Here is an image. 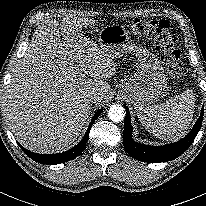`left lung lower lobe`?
<instances>
[{"mask_svg": "<svg viewBox=\"0 0 206 206\" xmlns=\"http://www.w3.org/2000/svg\"><path fill=\"white\" fill-rule=\"evenodd\" d=\"M126 117L124 121V133H123V143L127 153L143 162L158 163L174 160L183 154L194 141L197 133L199 132L203 120L204 106L201 109V114L199 119L196 121L194 127L190 133L178 142L163 145V146H149L132 139V125L130 122V113L125 106Z\"/></svg>", "mask_w": 206, "mask_h": 206, "instance_id": "1", "label": "left lung lower lobe"}]
</instances>
